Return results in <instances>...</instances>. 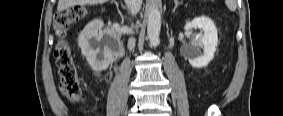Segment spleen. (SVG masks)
Returning a JSON list of instances; mask_svg holds the SVG:
<instances>
[{"label":"spleen","mask_w":283,"mask_h":116,"mask_svg":"<svg viewBox=\"0 0 283 116\" xmlns=\"http://www.w3.org/2000/svg\"><path fill=\"white\" fill-rule=\"evenodd\" d=\"M225 3L230 11L236 10L237 8L236 0H226Z\"/></svg>","instance_id":"1"}]
</instances>
